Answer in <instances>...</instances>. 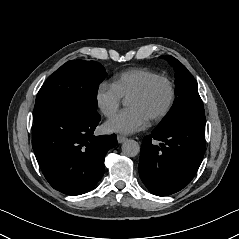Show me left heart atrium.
Returning a JSON list of instances; mask_svg holds the SVG:
<instances>
[{"label": "left heart atrium", "instance_id": "obj_1", "mask_svg": "<svg viewBox=\"0 0 239 239\" xmlns=\"http://www.w3.org/2000/svg\"><path fill=\"white\" fill-rule=\"evenodd\" d=\"M146 118L136 109L128 107L113 116L107 122V129L111 132L134 133L144 128Z\"/></svg>", "mask_w": 239, "mask_h": 239}]
</instances>
